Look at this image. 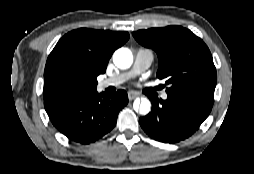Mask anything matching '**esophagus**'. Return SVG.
<instances>
[{"label":"esophagus","mask_w":254,"mask_h":174,"mask_svg":"<svg viewBox=\"0 0 254 174\" xmlns=\"http://www.w3.org/2000/svg\"><path fill=\"white\" fill-rule=\"evenodd\" d=\"M137 97H138V94H136V93H133V92L128 93V98L130 101L134 100Z\"/></svg>","instance_id":"34e87169"}]
</instances>
